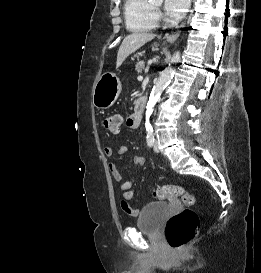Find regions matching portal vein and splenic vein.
I'll return each mask as SVG.
<instances>
[{
    "label": "portal vein and splenic vein",
    "instance_id": "obj_1",
    "mask_svg": "<svg viewBox=\"0 0 261 273\" xmlns=\"http://www.w3.org/2000/svg\"><path fill=\"white\" fill-rule=\"evenodd\" d=\"M143 79V77L142 76H138V80H142Z\"/></svg>",
    "mask_w": 261,
    "mask_h": 273
}]
</instances>
